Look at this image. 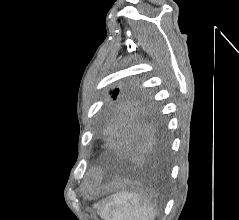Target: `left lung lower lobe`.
<instances>
[{
    "mask_svg": "<svg viewBox=\"0 0 239 220\" xmlns=\"http://www.w3.org/2000/svg\"><path fill=\"white\" fill-rule=\"evenodd\" d=\"M102 130L109 166H119L143 159L161 162L166 157L163 128L155 112L116 106L107 110Z\"/></svg>",
    "mask_w": 239,
    "mask_h": 220,
    "instance_id": "left-lung-lower-lobe-1",
    "label": "left lung lower lobe"
}]
</instances>
